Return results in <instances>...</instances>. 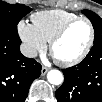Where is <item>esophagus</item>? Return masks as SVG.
I'll return each mask as SVG.
<instances>
[{"label":"esophagus","instance_id":"1","mask_svg":"<svg viewBox=\"0 0 102 102\" xmlns=\"http://www.w3.org/2000/svg\"><path fill=\"white\" fill-rule=\"evenodd\" d=\"M49 68L46 67V66H42V69H41V75H45L47 72H48Z\"/></svg>","mask_w":102,"mask_h":102}]
</instances>
